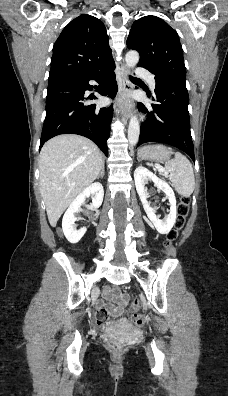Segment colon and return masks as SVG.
<instances>
[{"label":"colon","instance_id":"colon-1","mask_svg":"<svg viewBox=\"0 0 228 396\" xmlns=\"http://www.w3.org/2000/svg\"><path fill=\"white\" fill-rule=\"evenodd\" d=\"M189 203L190 200L188 197H182L180 203L178 205V216L175 223V228L170 231L167 235V240L165 242V246H171L175 241L179 238V232L182 230L186 224V219L189 214ZM140 303L137 300L131 302L129 310L132 314L133 321L136 326L143 327L144 326V318L140 313ZM103 314L100 313L99 318H102ZM108 347L113 351H121L123 348V343L116 338H111L108 340Z\"/></svg>","mask_w":228,"mask_h":396}]
</instances>
